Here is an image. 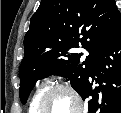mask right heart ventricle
Returning <instances> with one entry per match:
<instances>
[{"label":"right heart ventricle","mask_w":121,"mask_h":113,"mask_svg":"<svg viewBox=\"0 0 121 113\" xmlns=\"http://www.w3.org/2000/svg\"><path fill=\"white\" fill-rule=\"evenodd\" d=\"M47 88V86H43L41 88H39L36 93L34 94L31 104H30V110H35L37 107V103L41 97V94L43 93V91Z\"/></svg>","instance_id":"e07e8e85"}]
</instances>
